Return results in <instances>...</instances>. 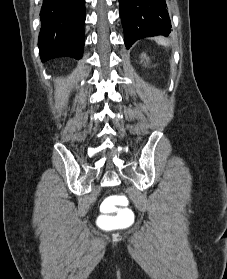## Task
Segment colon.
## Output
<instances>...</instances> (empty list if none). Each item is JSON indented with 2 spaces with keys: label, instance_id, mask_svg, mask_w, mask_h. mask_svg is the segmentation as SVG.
Returning a JSON list of instances; mask_svg holds the SVG:
<instances>
[{
  "label": "colon",
  "instance_id": "obj_1",
  "mask_svg": "<svg viewBox=\"0 0 227 279\" xmlns=\"http://www.w3.org/2000/svg\"><path fill=\"white\" fill-rule=\"evenodd\" d=\"M113 202L121 205L117 211L104 213L101 217L102 226L104 228H111L116 223H123L128 220L129 218V209L125 206L128 201V196L126 194H114L112 195Z\"/></svg>",
  "mask_w": 227,
  "mask_h": 279
}]
</instances>
